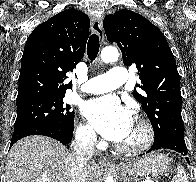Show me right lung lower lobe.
I'll list each match as a JSON object with an SVG mask.
<instances>
[{"label": "right lung lower lobe", "mask_w": 196, "mask_h": 182, "mask_svg": "<svg viewBox=\"0 0 196 182\" xmlns=\"http://www.w3.org/2000/svg\"><path fill=\"white\" fill-rule=\"evenodd\" d=\"M29 135H45L52 137L63 144H69L72 140L73 130H68L53 124H34L14 130L10 147L19 139Z\"/></svg>", "instance_id": "98d812e1"}]
</instances>
